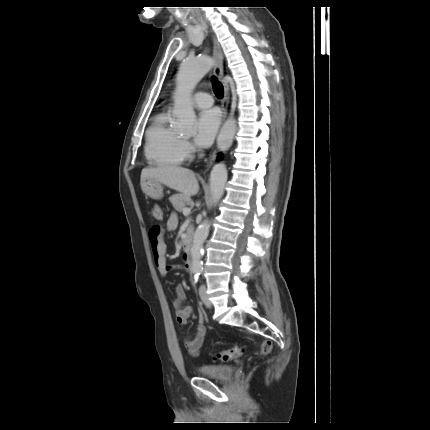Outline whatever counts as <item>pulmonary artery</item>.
I'll return each instance as SVG.
<instances>
[{
	"label": "pulmonary artery",
	"instance_id": "obj_1",
	"mask_svg": "<svg viewBox=\"0 0 430 430\" xmlns=\"http://www.w3.org/2000/svg\"><path fill=\"white\" fill-rule=\"evenodd\" d=\"M194 105L199 109L209 108L213 105V99L210 94L198 92L193 97Z\"/></svg>",
	"mask_w": 430,
	"mask_h": 430
}]
</instances>
